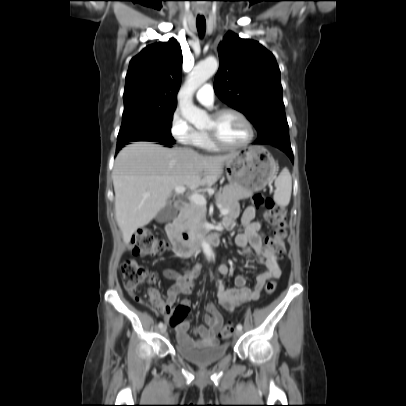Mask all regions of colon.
<instances>
[{
  "instance_id": "colon-1",
  "label": "colon",
  "mask_w": 406,
  "mask_h": 406,
  "mask_svg": "<svg viewBox=\"0 0 406 406\" xmlns=\"http://www.w3.org/2000/svg\"><path fill=\"white\" fill-rule=\"evenodd\" d=\"M253 203L255 206L266 208L265 218L269 224L275 227L274 232L268 239V245L273 250L275 258L279 259L284 253V240L286 237L285 210L282 207L276 206L270 197L262 194L254 195ZM130 247L134 256H152L167 249V245L157 239L148 228L139 229L132 235ZM121 273L123 286L131 293H134L145 282L154 283L157 279L155 274L132 258L125 259L122 262ZM275 289L276 282L270 280L265 286V293L271 295ZM188 311V308L178 306L171 318V324L184 320ZM233 330L234 323L229 321L219 330V337L226 339L232 334Z\"/></svg>"
}]
</instances>
